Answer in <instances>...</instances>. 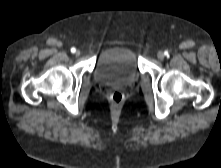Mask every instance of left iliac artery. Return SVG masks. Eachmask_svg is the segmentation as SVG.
I'll return each instance as SVG.
<instances>
[{
	"label": "left iliac artery",
	"instance_id": "obj_1",
	"mask_svg": "<svg viewBox=\"0 0 221 168\" xmlns=\"http://www.w3.org/2000/svg\"><path fill=\"white\" fill-rule=\"evenodd\" d=\"M166 56H169V53H168V51H165V53H164Z\"/></svg>",
	"mask_w": 221,
	"mask_h": 168
}]
</instances>
